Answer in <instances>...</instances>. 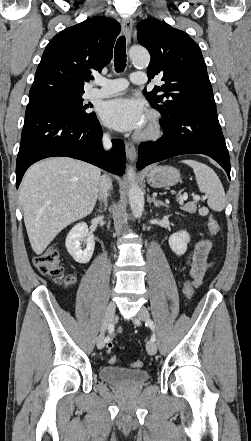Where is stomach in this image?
<instances>
[{
	"label": "stomach",
	"mask_w": 251,
	"mask_h": 441,
	"mask_svg": "<svg viewBox=\"0 0 251 441\" xmlns=\"http://www.w3.org/2000/svg\"><path fill=\"white\" fill-rule=\"evenodd\" d=\"M180 180V172L172 166H157L147 174V182L154 188L176 185Z\"/></svg>",
	"instance_id": "0dacf381"
}]
</instances>
